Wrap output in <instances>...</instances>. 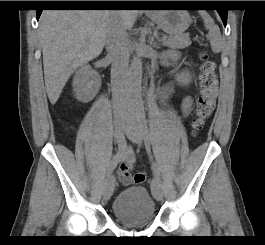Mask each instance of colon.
Instances as JSON below:
<instances>
[{
  "mask_svg": "<svg viewBox=\"0 0 265 245\" xmlns=\"http://www.w3.org/2000/svg\"><path fill=\"white\" fill-rule=\"evenodd\" d=\"M199 70L200 89L192 119L193 134L199 132L211 118L215 111L219 93V80L216 63L205 53H201ZM145 180L146 175L142 172L133 175V182L137 185L142 184Z\"/></svg>",
  "mask_w": 265,
  "mask_h": 245,
  "instance_id": "obj_1",
  "label": "colon"
}]
</instances>
